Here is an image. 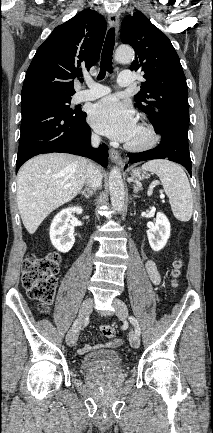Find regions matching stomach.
<instances>
[{"label": "stomach", "instance_id": "0dacf381", "mask_svg": "<svg viewBox=\"0 0 213 433\" xmlns=\"http://www.w3.org/2000/svg\"><path fill=\"white\" fill-rule=\"evenodd\" d=\"M131 176L134 179L143 180L146 177V172L143 171V170H141V169H139V168H134L131 171Z\"/></svg>", "mask_w": 213, "mask_h": 433}]
</instances>
